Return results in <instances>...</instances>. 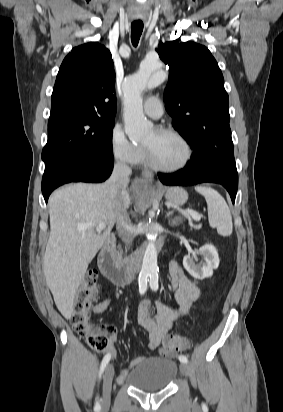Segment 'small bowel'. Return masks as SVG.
I'll list each match as a JSON object with an SVG mask.
<instances>
[{
  "instance_id": "obj_1",
  "label": "small bowel",
  "mask_w": 283,
  "mask_h": 412,
  "mask_svg": "<svg viewBox=\"0 0 283 412\" xmlns=\"http://www.w3.org/2000/svg\"><path fill=\"white\" fill-rule=\"evenodd\" d=\"M170 288L175 290V298L178 308H173L164 302H158L153 305L151 302L144 300L140 302L137 309L138 323L148 332L149 341L148 349L157 351L160 356H173L174 352H167L161 348V341L173 326V323L183 314H186L191 305L200 297L199 287L190 280L179 264L172 261L169 265ZM111 298L96 304L93 308L95 314L103 313L111 304ZM109 336L107 352L115 356V344L118 339L116 328L112 325L102 326ZM146 360V357L139 356L123 367L118 374V382H123L129 368L137 366Z\"/></svg>"
}]
</instances>
